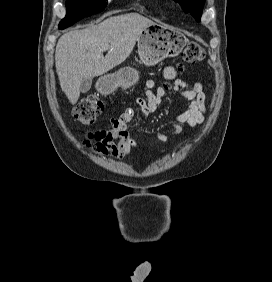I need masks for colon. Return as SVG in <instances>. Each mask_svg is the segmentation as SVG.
Here are the masks:
<instances>
[{
    "mask_svg": "<svg viewBox=\"0 0 272 282\" xmlns=\"http://www.w3.org/2000/svg\"><path fill=\"white\" fill-rule=\"evenodd\" d=\"M205 57L203 48L195 42H186L182 52V60L185 63L196 64L201 62ZM163 88L172 89L171 83H165ZM105 104L97 95H90L82 99L74 108V117L82 124L88 125L104 111ZM109 132L106 130L97 131L91 138L96 142L99 151L106 153L105 144L108 141Z\"/></svg>",
    "mask_w": 272,
    "mask_h": 282,
    "instance_id": "obj_1",
    "label": "colon"
}]
</instances>
